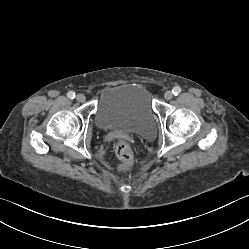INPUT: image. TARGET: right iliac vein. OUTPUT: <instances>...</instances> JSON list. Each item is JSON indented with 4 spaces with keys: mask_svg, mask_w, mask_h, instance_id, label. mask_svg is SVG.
I'll return each mask as SVG.
<instances>
[{
    "mask_svg": "<svg viewBox=\"0 0 249 249\" xmlns=\"http://www.w3.org/2000/svg\"><path fill=\"white\" fill-rule=\"evenodd\" d=\"M76 100L78 102H84L86 100V97L84 94H78L77 97H76Z\"/></svg>",
    "mask_w": 249,
    "mask_h": 249,
    "instance_id": "obj_1",
    "label": "right iliac vein"
}]
</instances>
